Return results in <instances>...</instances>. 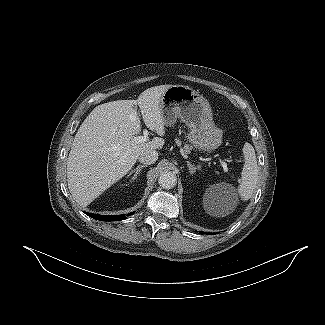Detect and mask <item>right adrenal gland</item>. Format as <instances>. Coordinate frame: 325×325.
<instances>
[{"instance_id": "2a0ac1e0", "label": "right adrenal gland", "mask_w": 325, "mask_h": 325, "mask_svg": "<svg viewBox=\"0 0 325 325\" xmlns=\"http://www.w3.org/2000/svg\"><path fill=\"white\" fill-rule=\"evenodd\" d=\"M145 167H147V165H138L136 169L132 170V171L129 173L128 176H130L131 174L135 173V174L133 175V177H132L131 180L136 179V178H137V175L140 174L142 168H145Z\"/></svg>"}]
</instances>
